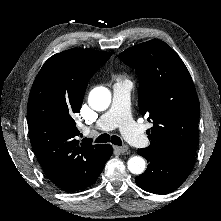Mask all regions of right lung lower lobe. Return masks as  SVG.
Listing matches in <instances>:
<instances>
[{
  "instance_id": "right-lung-lower-lobe-1",
  "label": "right lung lower lobe",
  "mask_w": 221,
  "mask_h": 221,
  "mask_svg": "<svg viewBox=\"0 0 221 221\" xmlns=\"http://www.w3.org/2000/svg\"><path fill=\"white\" fill-rule=\"evenodd\" d=\"M112 152H113V149H112V146L109 145V144H105V156H104V161H103V164L102 166L100 167V169L97 171V174L93 180V183L94 184L97 180V178L99 177V175L101 174L103 168H104V165L106 163V161L110 158V156L112 155ZM91 184V185H92Z\"/></svg>"
}]
</instances>
